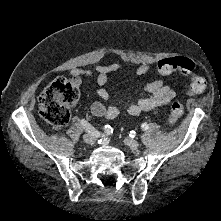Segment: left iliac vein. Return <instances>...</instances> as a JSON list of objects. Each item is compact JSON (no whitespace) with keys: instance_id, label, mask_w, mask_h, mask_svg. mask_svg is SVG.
Instances as JSON below:
<instances>
[{"instance_id":"1","label":"left iliac vein","mask_w":221,"mask_h":221,"mask_svg":"<svg viewBox=\"0 0 221 221\" xmlns=\"http://www.w3.org/2000/svg\"><path fill=\"white\" fill-rule=\"evenodd\" d=\"M124 142L127 146H129L132 149H136L139 146V142L134 139H125Z\"/></svg>"}]
</instances>
